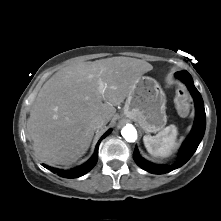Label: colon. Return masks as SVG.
I'll return each mask as SVG.
<instances>
[{
    "mask_svg": "<svg viewBox=\"0 0 221 221\" xmlns=\"http://www.w3.org/2000/svg\"><path fill=\"white\" fill-rule=\"evenodd\" d=\"M177 110L180 114L186 115L190 109V99L182 87H178L175 98Z\"/></svg>",
    "mask_w": 221,
    "mask_h": 221,
    "instance_id": "5ec220e1",
    "label": "colon"
}]
</instances>
